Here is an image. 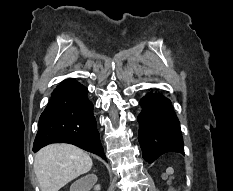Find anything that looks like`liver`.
<instances>
[{"label":"liver","mask_w":233,"mask_h":191,"mask_svg":"<svg viewBox=\"0 0 233 191\" xmlns=\"http://www.w3.org/2000/svg\"><path fill=\"white\" fill-rule=\"evenodd\" d=\"M93 162L80 148L51 144L37 152L34 172L41 191H58L78 176L89 172Z\"/></svg>","instance_id":"obj_1"}]
</instances>
